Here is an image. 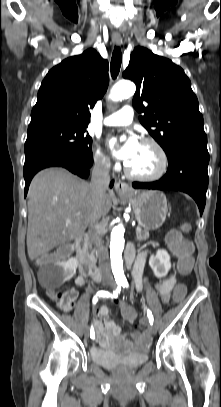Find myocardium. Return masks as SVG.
Wrapping results in <instances>:
<instances>
[{
    "label": "myocardium",
    "instance_id": "obj_1",
    "mask_svg": "<svg viewBox=\"0 0 221 407\" xmlns=\"http://www.w3.org/2000/svg\"><path fill=\"white\" fill-rule=\"evenodd\" d=\"M140 143L151 145L158 151L161 158V167L159 171L153 175H141L132 171L127 164L125 166V173L132 179L144 182H152L161 179L167 173L169 168V157L166 150L158 141L152 138H143Z\"/></svg>",
    "mask_w": 221,
    "mask_h": 407
}]
</instances>
